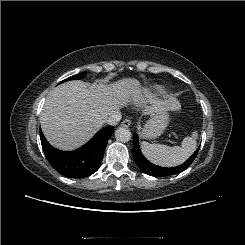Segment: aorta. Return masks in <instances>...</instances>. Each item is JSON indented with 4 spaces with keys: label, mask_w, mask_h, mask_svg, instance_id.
I'll return each instance as SVG.
<instances>
[{
    "label": "aorta",
    "mask_w": 245,
    "mask_h": 245,
    "mask_svg": "<svg viewBox=\"0 0 245 245\" xmlns=\"http://www.w3.org/2000/svg\"><path fill=\"white\" fill-rule=\"evenodd\" d=\"M131 132L128 128L120 127L115 131V138L117 141L126 143L131 139Z\"/></svg>",
    "instance_id": "1"
}]
</instances>
